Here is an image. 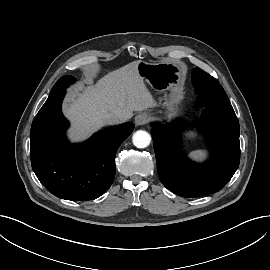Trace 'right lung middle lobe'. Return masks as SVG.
I'll return each instance as SVG.
<instances>
[{
    "mask_svg": "<svg viewBox=\"0 0 270 270\" xmlns=\"http://www.w3.org/2000/svg\"><path fill=\"white\" fill-rule=\"evenodd\" d=\"M75 81V78L73 76H64L60 78L56 84L53 86L50 94L57 93L59 91L64 90L67 86H69L71 83Z\"/></svg>",
    "mask_w": 270,
    "mask_h": 270,
    "instance_id": "1",
    "label": "right lung middle lobe"
}]
</instances>
